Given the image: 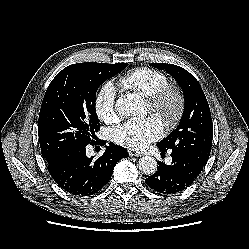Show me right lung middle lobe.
Instances as JSON below:
<instances>
[{
  "label": "right lung middle lobe",
  "mask_w": 249,
  "mask_h": 249,
  "mask_svg": "<svg viewBox=\"0 0 249 249\" xmlns=\"http://www.w3.org/2000/svg\"><path fill=\"white\" fill-rule=\"evenodd\" d=\"M128 66L86 62L67 66L48 86L40 109L38 135L46 160L93 144L100 123L95 110L100 85Z\"/></svg>",
  "instance_id": "right-lung-middle-lobe-1"
}]
</instances>
